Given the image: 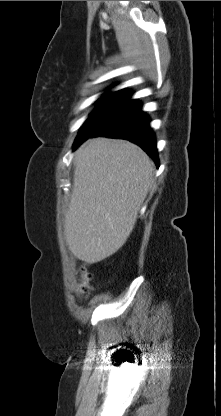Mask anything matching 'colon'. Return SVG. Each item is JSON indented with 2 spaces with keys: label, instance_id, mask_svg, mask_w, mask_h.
I'll list each match as a JSON object with an SVG mask.
<instances>
[{
  "label": "colon",
  "instance_id": "colon-1",
  "mask_svg": "<svg viewBox=\"0 0 221 416\" xmlns=\"http://www.w3.org/2000/svg\"><path fill=\"white\" fill-rule=\"evenodd\" d=\"M80 275H81V278L77 286L76 292L79 296L84 297L88 294L91 288L90 286L91 274L85 266H81Z\"/></svg>",
  "mask_w": 221,
  "mask_h": 416
}]
</instances>
